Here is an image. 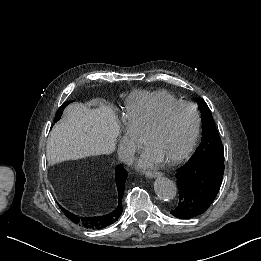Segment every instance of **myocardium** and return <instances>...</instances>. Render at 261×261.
I'll list each match as a JSON object with an SVG mask.
<instances>
[{
  "label": "myocardium",
  "instance_id": "obj_1",
  "mask_svg": "<svg viewBox=\"0 0 261 261\" xmlns=\"http://www.w3.org/2000/svg\"><path fill=\"white\" fill-rule=\"evenodd\" d=\"M173 107H183V108L190 110L194 116V126H193V129H192V132L190 134L188 141L186 142V144L182 147V149L180 151H178L177 153L170 155L166 158L160 159L161 162H163L164 164H171V163L184 159L187 156V154L191 151L193 146L195 145L199 132H200L201 123H202L201 114L198 111V109L193 104H191L189 102H185V101L169 102V103L165 104L164 106H162L158 111H156L152 114H148V115H144V116L140 117L136 124V130H137L144 123L157 119L158 117H160L161 114H163L165 111H167Z\"/></svg>",
  "mask_w": 261,
  "mask_h": 261
}]
</instances>
